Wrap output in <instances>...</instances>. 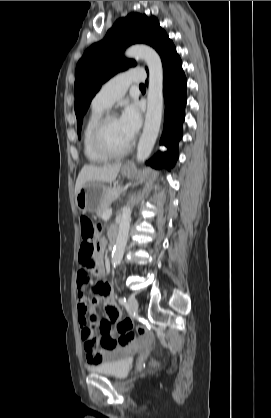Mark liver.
Listing matches in <instances>:
<instances>
[{
    "instance_id": "1",
    "label": "liver",
    "mask_w": 271,
    "mask_h": 418,
    "mask_svg": "<svg viewBox=\"0 0 271 418\" xmlns=\"http://www.w3.org/2000/svg\"><path fill=\"white\" fill-rule=\"evenodd\" d=\"M121 168V163L104 166L84 165L81 169L75 185V194L90 181H100L104 183H112Z\"/></svg>"
}]
</instances>
